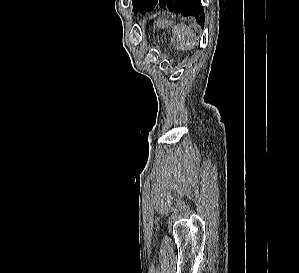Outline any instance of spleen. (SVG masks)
<instances>
[{
	"mask_svg": "<svg viewBox=\"0 0 299 273\" xmlns=\"http://www.w3.org/2000/svg\"><path fill=\"white\" fill-rule=\"evenodd\" d=\"M197 29V25L189 24L187 25H176L173 30V46L176 49L181 50H191L195 47L197 43V38L195 36L194 30Z\"/></svg>",
	"mask_w": 299,
	"mask_h": 273,
	"instance_id": "1",
	"label": "spleen"
}]
</instances>
